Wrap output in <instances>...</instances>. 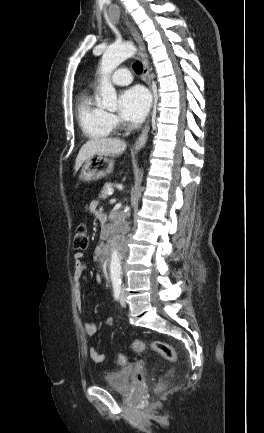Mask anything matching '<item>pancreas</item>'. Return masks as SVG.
<instances>
[{
  "instance_id": "pancreas-1",
  "label": "pancreas",
  "mask_w": 264,
  "mask_h": 433,
  "mask_svg": "<svg viewBox=\"0 0 264 433\" xmlns=\"http://www.w3.org/2000/svg\"><path fill=\"white\" fill-rule=\"evenodd\" d=\"M109 189H112V184L110 182H107V183L104 184V187L102 188V190H101V192L99 194V198L101 200H104V199L107 198V196H108L107 192H108Z\"/></svg>"
}]
</instances>
